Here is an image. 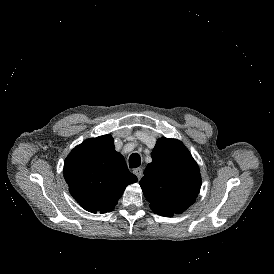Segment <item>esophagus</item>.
<instances>
[{"label": "esophagus", "instance_id": "obj_1", "mask_svg": "<svg viewBox=\"0 0 274 274\" xmlns=\"http://www.w3.org/2000/svg\"><path fill=\"white\" fill-rule=\"evenodd\" d=\"M133 173L138 177V179H141L142 175H143V169L138 167L133 169Z\"/></svg>", "mask_w": 274, "mask_h": 274}]
</instances>
